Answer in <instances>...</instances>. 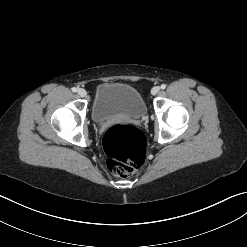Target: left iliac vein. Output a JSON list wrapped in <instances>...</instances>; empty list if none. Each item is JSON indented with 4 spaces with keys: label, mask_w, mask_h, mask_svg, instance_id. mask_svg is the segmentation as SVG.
<instances>
[{
    "label": "left iliac vein",
    "mask_w": 247,
    "mask_h": 247,
    "mask_svg": "<svg viewBox=\"0 0 247 247\" xmlns=\"http://www.w3.org/2000/svg\"><path fill=\"white\" fill-rule=\"evenodd\" d=\"M160 91V87L155 86L151 89V94L156 95Z\"/></svg>",
    "instance_id": "4c4485c4"
}]
</instances>
